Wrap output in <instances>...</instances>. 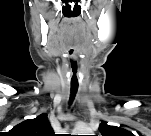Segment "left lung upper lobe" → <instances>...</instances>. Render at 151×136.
<instances>
[{
    "label": "left lung upper lobe",
    "instance_id": "5c2ea615",
    "mask_svg": "<svg viewBox=\"0 0 151 136\" xmlns=\"http://www.w3.org/2000/svg\"><path fill=\"white\" fill-rule=\"evenodd\" d=\"M99 131L103 136H123L125 132L123 129L115 126H110L107 122H102L99 126Z\"/></svg>",
    "mask_w": 151,
    "mask_h": 136
}]
</instances>
